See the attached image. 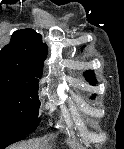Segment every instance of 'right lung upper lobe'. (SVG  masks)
<instances>
[{
    "instance_id": "cb5924a9",
    "label": "right lung upper lobe",
    "mask_w": 124,
    "mask_h": 149,
    "mask_svg": "<svg viewBox=\"0 0 124 149\" xmlns=\"http://www.w3.org/2000/svg\"><path fill=\"white\" fill-rule=\"evenodd\" d=\"M47 45L33 29L13 33L11 42L0 51V75L23 86L38 87Z\"/></svg>"
}]
</instances>
